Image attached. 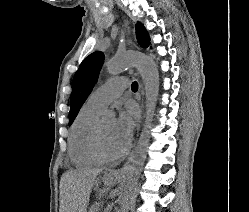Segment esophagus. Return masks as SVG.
I'll return each instance as SVG.
<instances>
[{
    "instance_id": "esophagus-1",
    "label": "esophagus",
    "mask_w": 249,
    "mask_h": 212,
    "mask_svg": "<svg viewBox=\"0 0 249 212\" xmlns=\"http://www.w3.org/2000/svg\"><path fill=\"white\" fill-rule=\"evenodd\" d=\"M133 35H134L135 43L137 44V39H136V34H135V28L134 27H133ZM111 173H112V175H121L120 170L111 171Z\"/></svg>"
}]
</instances>
